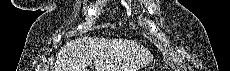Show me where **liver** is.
I'll return each mask as SVG.
<instances>
[{"label":"liver","mask_w":230,"mask_h":71,"mask_svg":"<svg viewBox=\"0 0 230 71\" xmlns=\"http://www.w3.org/2000/svg\"><path fill=\"white\" fill-rule=\"evenodd\" d=\"M153 57L143 47L126 40L78 38L67 42L57 55L54 71H137Z\"/></svg>","instance_id":"liver-1"}]
</instances>
